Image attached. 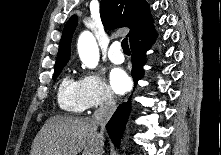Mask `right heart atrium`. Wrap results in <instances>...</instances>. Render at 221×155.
Wrapping results in <instances>:
<instances>
[{"label":"right heart atrium","mask_w":221,"mask_h":155,"mask_svg":"<svg viewBox=\"0 0 221 155\" xmlns=\"http://www.w3.org/2000/svg\"><path fill=\"white\" fill-rule=\"evenodd\" d=\"M79 81L86 109L111 106L115 103L112 90L99 73L87 72Z\"/></svg>","instance_id":"d8ad5b80"}]
</instances>
